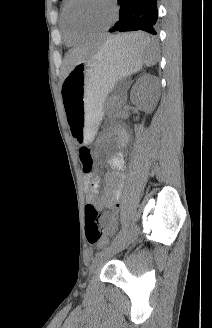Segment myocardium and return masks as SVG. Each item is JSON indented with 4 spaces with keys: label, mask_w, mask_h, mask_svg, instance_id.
<instances>
[{
    "label": "myocardium",
    "mask_w": 212,
    "mask_h": 328,
    "mask_svg": "<svg viewBox=\"0 0 212 328\" xmlns=\"http://www.w3.org/2000/svg\"><path fill=\"white\" fill-rule=\"evenodd\" d=\"M74 2H76V0H67L66 6H65V19H66V23H67V26H68L70 32L75 35L76 34L90 35V34H97V33L104 32V31L108 30L117 19V16H118L117 2H116V0H109V2L112 5V8H113V16L107 25L100 27V28H95V29L79 28L73 24L71 17H70V9Z\"/></svg>",
    "instance_id": "obj_1"
}]
</instances>
